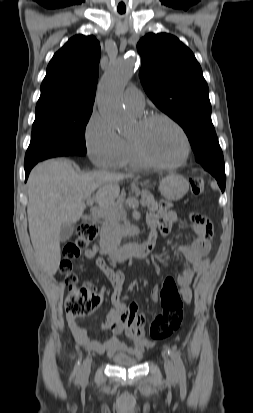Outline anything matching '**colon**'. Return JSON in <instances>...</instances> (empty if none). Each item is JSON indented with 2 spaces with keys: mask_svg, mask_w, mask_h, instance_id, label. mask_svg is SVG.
<instances>
[{
  "mask_svg": "<svg viewBox=\"0 0 253 413\" xmlns=\"http://www.w3.org/2000/svg\"><path fill=\"white\" fill-rule=\"evenodd\" d=\"M205 191V181L200 177L191 180V192L199 195ZM97 227L85 222L78 226L77 237L63 249V261L60 271L65 275L68 293L65 300L67 314L74 317H85L93 313L101 303L102 296L91 284L80 283L73 272L72 261L77 259L97 236ZM162 312L155 317L150 326L153 340H161L172 335L181 325L183 319V301L172 277H167L160 291Z\"/></svg>",
  "mask_w": 253,
  "mask_h": 413,
  "instance_id": "colon-1",
  "label": "colon"
}]
</instances>
